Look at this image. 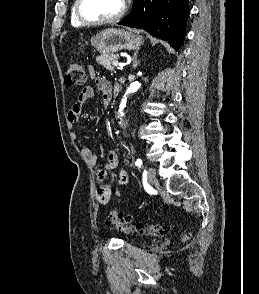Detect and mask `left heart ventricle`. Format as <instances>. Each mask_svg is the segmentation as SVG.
I'll use <instances>...</instances> for the list:
<instances>
[{
    "label": "left heart ventricle",
    "instance_id": "1",
    "mask_svg": "<svg viewBox=\"0 0 259 294\" xmlns=\"http://www.w3.org/2000/svg\"><path fill=\"white\" fill-rule=\"evenodd\" d=\"M122 7V0H83L82 13L91 20L114 16Z\"/></svg>",
    "mask_w": 259,
    "mask_h": 294
}]
</instances>
